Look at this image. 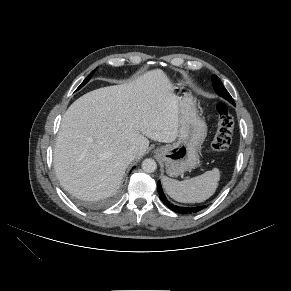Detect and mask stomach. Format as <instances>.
<instances>
[{
  "label": "stomach",
  "instance_id": "1",
  "mask_svg": "<svg viewBox=\"0 0 291 291\" xmlns=\"http://www.w3.org/2000/svg\"><path fill=\"white\" fill-rule=\"evenodd\" d=\"M179 98V133L172 145L155 150L156 156L165 163L169 176H179L199 163V148L207 135L205 121L198 115L196 101L191 92L178 84L174 89Z\"/></svg>",
  "mask_w": 291,
  "mask_h": 291
}]
</instances>
